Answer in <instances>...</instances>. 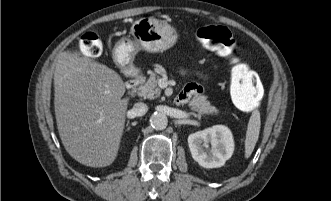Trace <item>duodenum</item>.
I'll use <instances>...</instances> for the list:
<instances>
[{"label":"duodenum","instance_id":"obj_1","mask_svg":"<svg viewBox=\"0 0 331 201\" xmlns=\"http://www.w3.org/2000/svg\"><path fill=\"white\" fill-rule=\"evenodd\" d=\"M138 77H139V72L132 71L131 76L129 77V79L125 83L126 88L129 89V90L134 89L138 84Z\"/></svg>","mask_w":331,"mask_h":201}]
</instances>
